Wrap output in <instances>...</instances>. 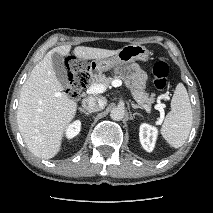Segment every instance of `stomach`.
I'll list each match as a JSON object with an SVG mask.
<instances>
[{
    "label": "stomach",
    "mask_w": 213,
    "mask_h": 213,
    "mask_svg": "<svg viewBox=\"0 0 213 213\" xmlns=\"http://www.w3.org/2000/svg\"><path fill=\"white\" fill-rule=\"evenodd\" d=\"M148 59L149 51L146 47L139 44H130L119 49L113 57L93 60L89 64V73L92 76H97L116 66L128 65L136 61L145 62Z\"/></svg>",
    "instance_id": "0dacf381"
}]
</instances>
